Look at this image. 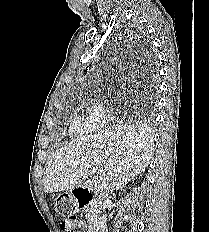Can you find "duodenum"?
Segmentation results:
<instances>
[{
    "label": "duodenum",
    "instance_id": "obj_1",
    "mask_svg": "<svg viewBox=\"0 0 209 232\" xmlns=\"http://www.w3.org/2000/svg\"><path fill=\"white\" fill-rule=\"evenodd\" d=\"M75 198L80 208H86L90 205H97L99 200L93 195L91 189L87 186H78L73 190ZM89 232H101L97 222H93Z\"/></svg>",
    "mask_w": 209,
    "mask_h": 232
}]
</instances>
